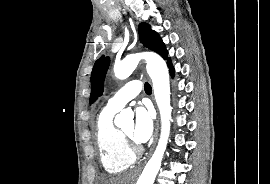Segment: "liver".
<instances>
[{
	"label": "liver",
	"instance_id": "liver-1",
	"mask_svg": "<svg viewBox=\"0 0 270 184\" xmlns=\"http://www.w3.org/2000/svg\"><path fill=\"white\" fill-rule=\"evenodd\" d=\"M131 177V175H126L122 177L111 178L106 180L104 184H129Z\"/></svg>",
	"mask_w": 270,
	"mask_h": 184
}]
</instances>
